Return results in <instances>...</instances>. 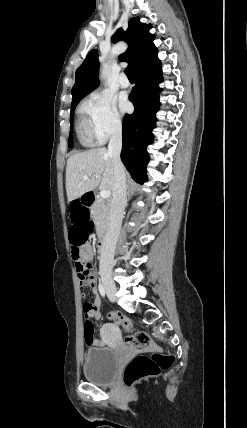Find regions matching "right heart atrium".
Returning a JSON list of instances; mask_svg holds the SVG:
<instances>
[{"mask_svg":"<svg viewBox=\"0 0 247 428\" xmlns=\"http://www.w3.org/2000/svg\"><path fill=\"white\" fill-rule=\"evenodd\" d=\"M95 139L102 143L122 130V120L111 96L105 93H94L87 102Z\"/></svg>","mask_w":247,"mask_h":428,"instance_id":"obj_1","label":"right heart atrium"}]
</instances>
